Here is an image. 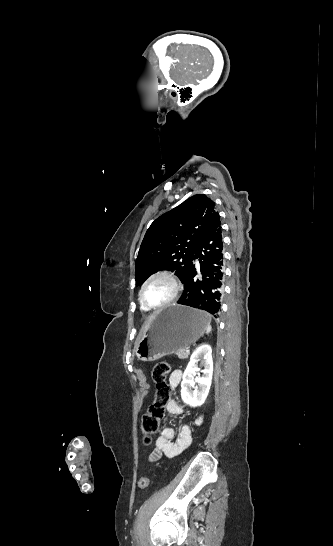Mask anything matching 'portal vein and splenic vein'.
Segmentation results:
<instances>
[{
    "mask_svg": "<svg viewBox=\"0 0 333 546\" xmlns=\"http://www.w3.org/2000/svg\"><path fill=\"white\" fill-rule=\"evenodd\" d=\"M187 353H190V350H187Z\"/></svg>",
    "mask_w": 333,
    "mask_h": 546,
    "instance_id": "18ae733b",
    "label": "portal vein and splenic vein"
}]
</instances>
